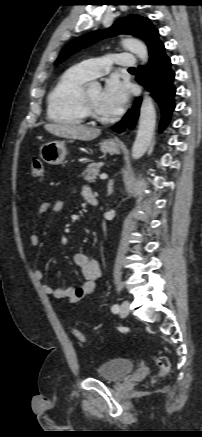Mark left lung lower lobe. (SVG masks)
Segmentation results:
<instances>
[{
	"label": "left lung lower lobe",
	"instance_id": "1",
	"mask_svg": "<svg viewBox=\"0 0 202 437\" xmlns=\"http://www.w3.org/2000/svg\"><path fill=\"white\" fill-rule=\"evenodd\" d=\"M174 77L175 73L171 69V61L165 54L163 43L158 45L150 54L148 67L140 66L137 72V82L144 85L151 92V95L160 106L162 113L160 131L170 121L171 113L175 108L174 96L176 88L173 84ZM140 104L141 98H138L124 118L114 125L112 129L120 133L127 126L133 128L139 116Z\"/></svg>",
	"mask_w": 202,
	"mask_h": 437
}]
</instances>
